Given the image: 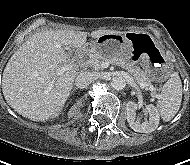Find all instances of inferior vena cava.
Segmentation results:
<instances>
[{
  "label": "inferior vena cava",
  "mask_w": 190,
  "mask_h": 165,
  "mask_svg": "<svg viewBox=\"0 0 190 165\" xmlns=\"http://www.w3.org/2000/svg\"><path fill=\"white\" fill-rule=\"evenodd\" d=\"M98 72L82 71L75 79V84L78 88H87L94 80L98 79Z\"/></svg>",
  "instance_id": "obj_1"
}]
</instances>
